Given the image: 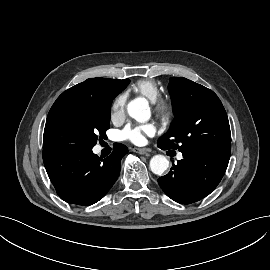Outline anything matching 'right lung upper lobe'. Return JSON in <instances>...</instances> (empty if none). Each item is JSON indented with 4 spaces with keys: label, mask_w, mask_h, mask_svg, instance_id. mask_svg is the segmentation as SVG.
<instances>
[{
    "label": "right lung upper lobe",
    "mask_w": 270,
    "mask_h": 270,
    "mask_svg": "<svg viewBox=\"0 0 270 270\" xmlns=\"http://www.w3.org/2000/svg\"><path fill=\"white\" fill-rule=\"evenodd\" d=\"M126 80L108 78L87 79L64 91L55 103L83 98L106 100L114 96L125 85Z\"/></svg>",
    "instance_id": "1"
}]
</instances>
